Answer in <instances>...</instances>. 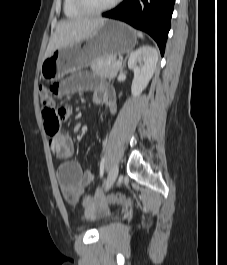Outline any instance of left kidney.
Masks as SVG:
<instances>
[{
    "label": "left kidney",
    "mask_w": 227,
    "mask_h": 265,
    "mask_svg": "<svg viewBox=\"0 0 227 265\" xmlns=\"http://www.w3.org/2000/svg\"><path fill=\"white\" fill-rule=\"evenodd\" d=\"M157 61L158 52L149 45L142 46L131 53L128 59V68L134 72L131 86L133 96H139L147 87L155 72Z\"/></svg>",
    "instance_id": "1"
}]
</instances>
